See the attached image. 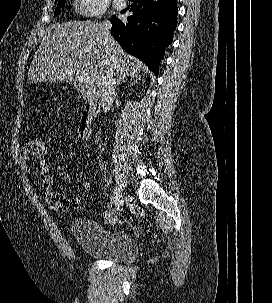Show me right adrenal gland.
<instances>
[{"mask_svg": "<svg viewBox=\"0 0 272 303\" xmlns=\"http://www.w3.org/2000/svg\"><path fill=\"white\" fill-rule=\"evenodd\" d=\"M129 76H125V75H120L115 83V87L122 84V83H125L127 81V78ZM130 77H134V74H130Z\"/></svg>", "mask_w": 272, "mask_h": 303, "instance_id": "obj_1", "label": "right adrenal gland"}]
</instances>
